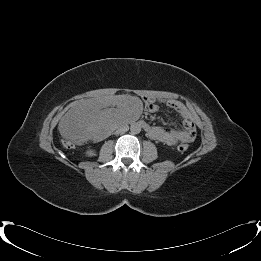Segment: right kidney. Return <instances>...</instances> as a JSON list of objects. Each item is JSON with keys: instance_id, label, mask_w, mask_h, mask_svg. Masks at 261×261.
I'll use <instances>...</instances> for the list:
<instances>
[{"instance_id": "1", "label": "right kidney", "mask_w": 261, "mask_h": 261, "mask_svg": "<svg viewBox=\"0 0 261 261\" xmlns=\"http://www.w3.org/2000/svg\"><path fill=\"white\" fill-rule=\"evenodd\" d=\"M86 153H87V155H92V154H94L92 150H89V151H87Z\"/></svg>"}]
</instances>
